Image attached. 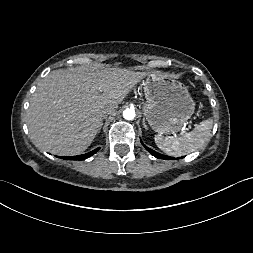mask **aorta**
<instances>
[{
	"mask_svg": "<svg viewBox=\"0 0 253 253\" xmlns=\"http://www.w3.org/2000/svg\"><path fill=\"white\" fill-rule=\"evenodd\" d=\"M123 117L126 120H133L135 118V111L133 109H125L123 111Z\"/></svg>",
	"mask_w": 253,
	"mask_h": 253,
	"instance_id": "1",
	"label": "aorta"
}]
</instances>
